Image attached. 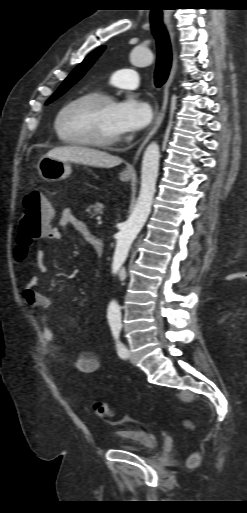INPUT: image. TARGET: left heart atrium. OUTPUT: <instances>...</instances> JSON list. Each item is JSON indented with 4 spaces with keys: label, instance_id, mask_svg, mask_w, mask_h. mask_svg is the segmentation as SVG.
<instances>
[{
    "label": "left heart atrium",
    "instance_id": "1",
    "mask_svg": "<svg viewBox=\"0 0 247 513\" xmlns=\"http://www.w3.org/2000/svg\"><path fill=\"white\" fill-rule=\"evenodd\" d=\"M151 117L150 105L133 95L126 96L115 107V124L120 135L142 130Z\"/></svg>",
    "mask_w": 247,
    "mask_h": 513
}]
</instances>
